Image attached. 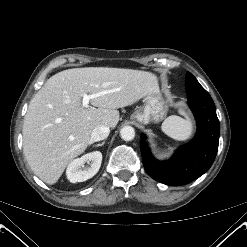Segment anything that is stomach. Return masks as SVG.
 I'll return each instance as SVG.
<instances>
[{"instance_id":"stomach-1","label":"stomach","mask_w":247,"mask_h":247,"mask_svg":"<svg viewBox=\"0 0 247 247\" xmlns=\"http://www.w3.org/2000/svg\"><path fill=\"white\" fill-rule=\"evenodd\" d=\"M167 109L168 102L157 89L144 97L143 105L131 115V120L143 124L159 122L165 117Z\"/></svg>"}]
</instances>
